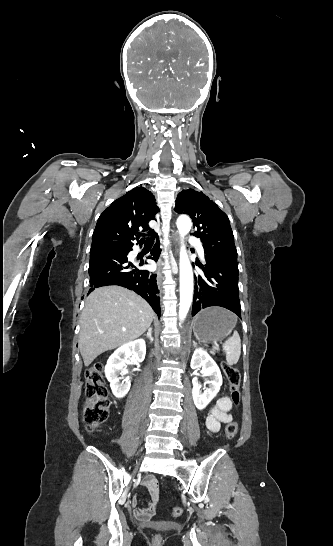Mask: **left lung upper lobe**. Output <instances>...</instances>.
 I'll list each match as a JSON object with an SVG mask.
<instances>
[{
  "instance_id": "5c2ea615",
  "label": "left lung upper lobe",
  "mask_w": 333,
  "mask_h": 546,
  "mask_svg": "<svg viewBox=\"0 0 333 546\" xmlns=\"http://www.w3.org/2000/svg\"><path fill=\"white\" fill-rule=\"evenodd\" d=\"M175 211L187 214L195 226L194 236L201 239L206 254L237 261L234 236L227 215L202 192L187 189L176 199ZM228 267H225L224 274Z\"/></svg>"
}]
</instances>
